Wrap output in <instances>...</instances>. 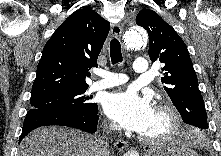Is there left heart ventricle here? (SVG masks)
Segmentation results:
<instances>
[{
  "label": "left heart ventricle",
  "mask_w": 221,
  "mask_h": 156,
  "mask_svg": "<svg viewBox=\"0 0 221 156\" xmlns=\"http://www.w3.org/2000/svg\"><path fill=\"white\" fill-rule=\"evenodd\" d=\"M167 118L166 116L155 110L153 119L147 129L142 133L148 136H154L163 133L167 128Z\"/></svg>",
  "instance_id": "obj_1"
}]
</instances>
